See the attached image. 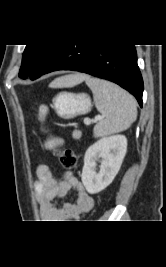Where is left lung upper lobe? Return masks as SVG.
<instances>
[{"label":"left lung upper lobe","mask_w":166,"mask_h":267,"mask_svg":"<svg viewBox=\"0 0 166 267\" xmlns=\"http://www.w3.org/2000/svg\"><path fill=\"white\" fill-rule=\"evenodd\" d=\"M62 45H26L19 71L20 78L30 76L32 80L40 77Z\"/></svg>","instance_id":"left-lung-upper-lobe-1"}]
</instances>
